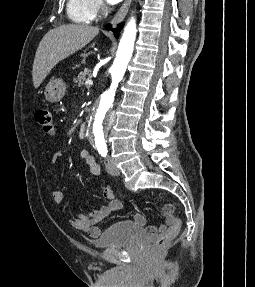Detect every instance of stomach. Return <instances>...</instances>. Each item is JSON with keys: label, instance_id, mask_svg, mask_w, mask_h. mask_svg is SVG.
Segmentation results:
<instances>
[{"label": "stomach", "instance_id": "0dacf381", "mask_svg": "<svg viewBox=\"0 0 255 287\" xmlns=\"http://www.w3.org/2000/svg\"><path fill=\"white\" fill-rule=\"evenodd\" d=\"M66 92V84L62 80H51L44 90L45 100L47 102H60Z\"/></svg>", "mask_w": 255, "mask_h": 287}]
</instances>
